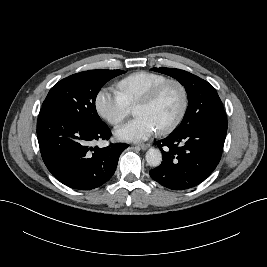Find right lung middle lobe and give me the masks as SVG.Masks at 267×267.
Segmentation results:
<instances>
[{"label":"right lung middle lobe","instance_id":"1","mask_svg":"<svg viewBox=\"0 0 267 267\" xmlns=\"http://www.w3.org/2000/svg\"><path fill=\"white\" fill-rule=\"evenodd\" d=\"M123 73L102 69L73 74L51 88L42 108L60 112L87 127H103L106 124L96 111V96L107 81Z\"/></svg>","mask_w":267,"mask_h":267}]
</instances>
